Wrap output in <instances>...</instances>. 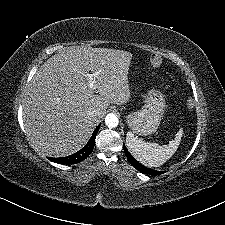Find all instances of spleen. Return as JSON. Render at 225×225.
Returning <instances> with one entry per match:
<instances>
[{
	"label": "spleen",
	"instance_id": "spleen-1",
	"mask_svg": "<svg viewBox=\"0 0 225 225\" xmlns=\"http://www.w3.org/2000/svg\"><path fill=\"white\" fill-rule=\"evenodd\" d=\"M182 137L179 131L174 140L168 145L148 143L134 136L132 132L126 135V144L131 155L141 164L147 167H159L163 165L177 150Z\"/></svg>",
	"mask_w": 225,
	"mask_h": 225
}]
</instances>
